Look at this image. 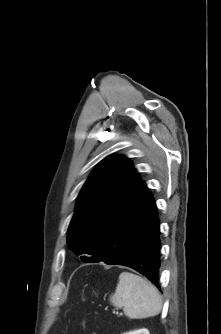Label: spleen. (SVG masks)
I'll return each instance as SVG.
<instances>
[{
  "label": "spleen",
  "mask_w": 221,
  "mask_h": 334,
  "mask_svg": "<svg viewBox=\"0 0 221 334\" xmlns=\"http://www.w3.org/2000/svg\"><path fill=\"white\" fill-rule=\"evenodd\" d=\"M110 302L117 308H123L125 315L131 319L153 317L162 309L160 293L147 280L129 272L119 275L115 293Z\"/></svg>",
  "instance_id": "spleen-1"
}]
</instances>
